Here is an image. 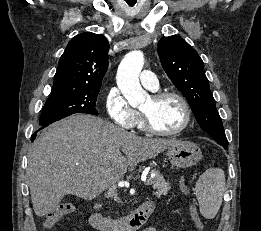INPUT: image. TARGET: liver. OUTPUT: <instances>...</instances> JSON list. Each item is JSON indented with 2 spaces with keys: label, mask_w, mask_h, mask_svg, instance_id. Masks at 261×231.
<instances>
[{
  "label": "liver",
  "mask_w": 261,
  "mask_h": 231,
  "mask_svg": "<svg viewBox=\"0 0 261 231\" xmlns=\"http://www.w3.org/2000/svg\"><path fill=\"white\" fill-rule=\"evenodd\" d=\"M177 142L143 138L90 115L55 122L37 137L28 154L34 212L39 217L53 213L67 194L93 199L139 162Z\"/></svg>",
  "instance_id": "1"
}]
</instances>
